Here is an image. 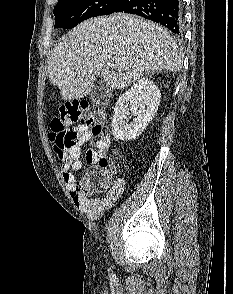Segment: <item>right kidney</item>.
<instances>
[{"mask_svg":"<svg viewBox=\"0 0 233 294\" xmlns=\"http://www.w3.org/2000/svg\"><path fill=\"white\" fill-rule=\"evenodd\" d=\"M160 98V90L148 78L140 79L120 95L112 117L113 136L121 141H129L138 137L154 118ZM130 113L136 118L128 123L127 115Z\"/></svg>","mask_w":233,"mask_h":294,"instance_id":"right-kidney-1","label":"right kidney"}]
</instances>
